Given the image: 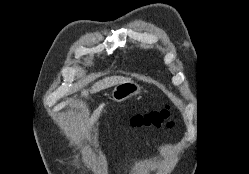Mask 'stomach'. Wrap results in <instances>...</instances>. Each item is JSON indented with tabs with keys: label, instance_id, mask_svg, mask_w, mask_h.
Returning <instances> with one entry per match:
<instances>
[{
	"label": "stomach",
	"instance_id": "0dacf381",
	"mask_svg": "<svg viewBox=\"0 0 249 174\" xmlns=\"http://www.w3.org/2000/svg\"><path fill=\"white\" fill-rule=\"evenodd\" d=\"M141 91V87L133 82L126 81L120 84H117L112 91V99L115 102H122L126 99L132 97L133 95L139 94Z\"/></svg>",
	"mask_w": 249,
	"mask_h": 174
}]
</instances>
